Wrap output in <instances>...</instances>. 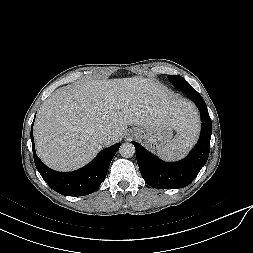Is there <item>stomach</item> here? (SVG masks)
Instances as JSON below:
<instances>
[{"instance_id": "1", "label": "stomach", "mask_w": 253, "mask_h": 253, "mask_svg": "<svg viewBox=\"0 0 253 253\" xmlns=\"http://www.w3.org/2000/svg\"><path fill=\"white\" fill-rule=\"evenodd\" d=\"M131 131L135 132L137 138L143 140L151 150H160L172 138V129L167 124L148 128L136 127Z\"/></svg>"}]
</instances>
